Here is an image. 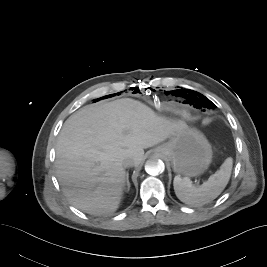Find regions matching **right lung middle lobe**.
Listing matches in <instances>:
<instances>
[{"mask_svg": "<svg viewBox=\"0 0 267 267\" xmlns=\"http://www.w3.org/2000/svg\"><path fill=\"white\" fill-rule=\"evenodd\" d=\"M110 96H112V95L105 96L104 98H106V97H110Z\"/></svg>", "mask_w": 267, "mask_h": 267, "instance_id": "1", "label": "right lung middle lobe"}]
</instances>
